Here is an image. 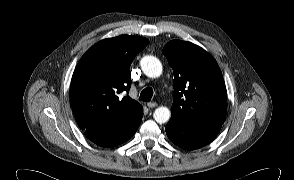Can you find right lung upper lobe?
I'll use <instances>...</instances> for the list:
<instances>
[{"instance_id":"right-lung-upper-lobe-1","label":"right lung upper lobe","mask_w":294,"mask_h":180,"mask_svg":"<svg viewBox=\"0 0 294 180\" xmlns=\"http://www.w3.org/2000/svg\"><path fill=\"white\" fill-rule=\"evenodd\" d=\"M148 42L140 36L120 35L99 41L82 56L72 76L70 100L86 134L112 130L141 107L119 94L129 92L130 65Z\"/></svg>"}]
</instances>
